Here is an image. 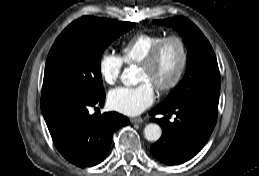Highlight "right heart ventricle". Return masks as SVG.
I'll return each mask as SVG.
<instances>
[{"mask_svg":"<svg viewBox=\"0 0 259 176\" xmlns=\"http://www.w3.org/2000/svg\"><path fill=\"white\" fill-rule=\"evenodd\" d=\"M165 35L138 33L131 36L121 48V58L128 65L139 64Z\"/></svg>","mask_w":259,"mask_h":176,"instance_id":"1","label":"right heart ventricle"}]
</instances>
